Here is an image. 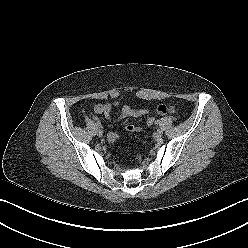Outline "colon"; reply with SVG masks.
<instances>
[{
	"instance_id": "5ec220e1",
	"label": "colon",
	"mask_w": 248,
	"mask_h": 248,
	"mask_svg": "<svg viewBox=\"0 0 248 248\" xmlns=\"http://www.w3.org/2000/svg\"><path fill=\"white\" fill-rule=\"evenodd\" d=\"M146 123L149 127H151L154 124V118L148 117L146 120ZM117 137L118 135L116 133H111L108 138H109V141H114Z\"/></svg>"
}]
</instances>
